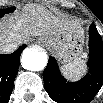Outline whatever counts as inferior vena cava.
I'll list each match as a JSON object with an SVG mask.
<instances>
[{
    "mask_svg": "<svg viewBox=\"0 0 103 103\" xmlns=\"http://www.w3.org/2000/svg\"><path fill=\"white\" fill-rule=\"evenodd\" d=\"M17 48V43L1 44V49L6 53H11Z\"/></svg>",
    "mask_w": 103,
    "mask_h": 103,
    "instance_id": "inferior-vena-cava-1",
    "label": "inferior vena cava"
}]
</instances>
